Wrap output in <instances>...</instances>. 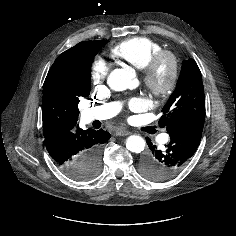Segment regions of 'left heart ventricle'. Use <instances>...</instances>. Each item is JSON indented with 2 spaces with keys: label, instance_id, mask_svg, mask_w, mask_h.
<instances>
[{
  "label": "left heart ventricle",
  "instance_id": "obj_1",
  "mask_svg": "<svg viewBox=\"0 0 236 236\" xmlns=\"http://www.w3.org/2000/svg\"><path fill=\"white\" fill-rule=\"evenodd\" d=\"M169 74V65L167 63H164V65L161 67L159 71V78L162 81H165L168 78Z\"/></svg>",
  "mask_w": 236,
  "mask_h": 236
}]
</instances>
